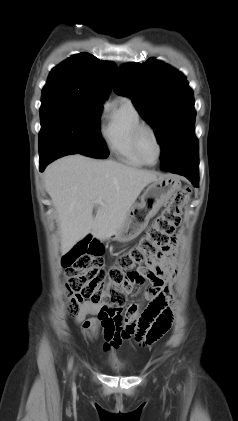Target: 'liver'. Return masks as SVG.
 Wrapping results in <instances>:
<instances>
[{
  "mask_svg": "<svg viewBox=\"0 0 238 421\" xmlns=\"http://www.w3.org/2000/svg\"><path fill=\"white\" fill-rule=\"evenodd\" d=\"M161 177L155 171L83 155L51 163L44 173L45 188L57 211L61 252L89 233L100 241L113 236L141 191ZM98 198L102 203L96 202Z\"/></svg>",
  "mask_w": 238,
  "mask_h": 421,
  "instance_id": "liver-1",
  "label": "liver"
}]
</instances>
